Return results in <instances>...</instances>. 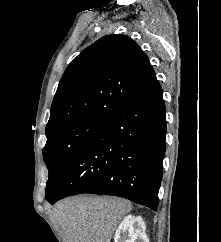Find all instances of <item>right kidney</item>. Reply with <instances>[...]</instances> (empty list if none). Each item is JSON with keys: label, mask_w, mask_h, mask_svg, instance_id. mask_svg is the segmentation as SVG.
Returning <instances> with one entry per match:
<instances>
[{"label": "right kidney", "mask_w": 221, "mask_h": 242, "mask_svg": "<svg viewBox=\"0 0 221 242\" xmlns=\"http://www.w3.org/2000/svg\"><path fill=\"white\" fill-rule=\"evenodd\" d=\"M145 230L146 226L142 217L128 215L118 226L114 242H149Z\"/></svg>", "instance_id": "ca27d5eb"}]
</instances>
